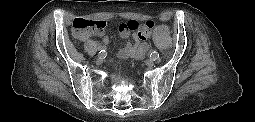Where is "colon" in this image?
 Segmentation results:
<instances>
[{
	"mask_svg": "<svg viewBox=\"0 0 255 122\" xmlns=\"http://www.w3.org/2000/svg\"><path fill=\"white\" fill-rule=\"evenodd\" d=\"M129 31H136L141 39L147 37L153 26L151 21L139 22L130 20L124 23ZM107 26L104 20L77 18L72 23V32L76 38L81 39L87 31H103Z\"/></svg>",
	"mask_w": 255,
	"mask_h": 122,
	"instance_id": "obj_1",
	"label": "colon"
}]
</instances>
